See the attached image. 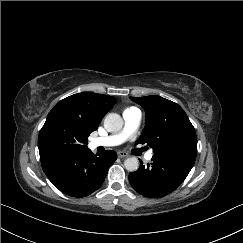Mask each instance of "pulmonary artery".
<instances>
[{"instance_id": "1", "label": "pulmonary artery", "mask_w": 243, "mask_h": 243, "mask_svg": "<svg viewBox=\"0 0 243 243\" xmlns=\"http://www.w3.org/2000/svg\"><path fill=\"white\" fill-rule=\"evenodd\" d=\"M124 127L119 133L105 137L94 138L89 142L91 149L97 147H113L123 143L131 136L140 126L142 113L138 107H129L123 111ZM153 153L150 151L146 154V160H151Z\"/></svg>"}]
</instances>
